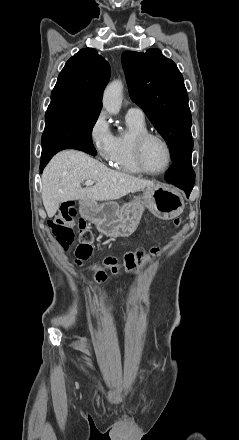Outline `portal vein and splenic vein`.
Returning a JSON list of instances; mask_svg holds the SVG:
<instances>
[{
	"mask_svg": "<svg viewBox=\"0 0 239 440\" xmlns=\"http://www.w3.org/2000/svg\"><path fill=\"white\" fill-rule=\"evenodd\" d=\"M85 186H94L93 180H86Z\"/></svg>",
	"mask_w": 239,
	"mask_h": 440,
	"instance_id": "1",
	"label": "portal vein and splenic vein"
}]
</instances>
